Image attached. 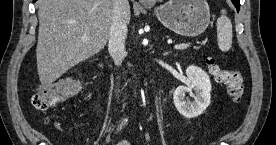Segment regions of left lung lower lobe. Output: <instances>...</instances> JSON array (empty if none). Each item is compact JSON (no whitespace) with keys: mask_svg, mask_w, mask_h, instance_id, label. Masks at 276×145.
<instances>
[{"mask_svg":"<svg viewBox=\"0 0 276 145\" xmlns=\"http://www.w3.org/2000/svg\"><path fill=\"white\" fill-rule=\"evenodd\" d=\"M236 7L237 11L239 12L240 10V0H231Z\"/></svg>","mask_w":276,"mask_h":145,"instance_id":"left-lung-lower-lobe-1","label":"left lung lower lobe"}]
</instances>
